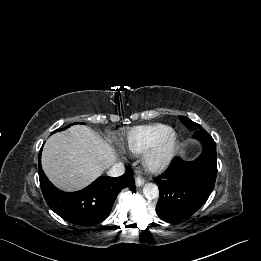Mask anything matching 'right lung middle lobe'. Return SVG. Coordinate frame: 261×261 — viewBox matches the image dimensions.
<instances>
[{
	"mask_svg": "<svg viewBox=\"0 0 261 261\" xmlns=\"http://www.w3.org/2000/svg\"><path fill=\"white\" fill-rule=\"evenodd\" d=\"M80 124H84V123H80ZM71 125H73V124H70V125L66 126L65 128H63V129L56 130L55 132H57V131H62V130H64V129H67V128L70 127Z\"/></svg>",
	"mask_w": 261,
	"mask_h": 261,
	"instance_id": "dd1d6c3e",
	"label": "right lung middle lobe"
}]
</instances>
